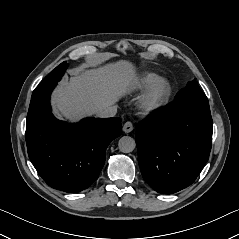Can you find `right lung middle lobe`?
<instances>
[{"label": "right lung middle lobe", "instance_id": "obj_1", "mask_svg": "<svg viewBox=\"0 0 239 239\" xmlns=\"http://www.w3.org/2000/svg\"><path fill=\"white\" fill-rule=\"evenodd\" d=\"M67 67H68V63L66 62H62L60 65H58L54 70L50 72L48 76H46L45 79H43L40 82V84L33 91L32 95L40 92L41 90H43L44 88L48 87L51 84L57 83L62 78Z\"/></svg>", "mask_w": 239, "mask_h": 239}]
</instances>
